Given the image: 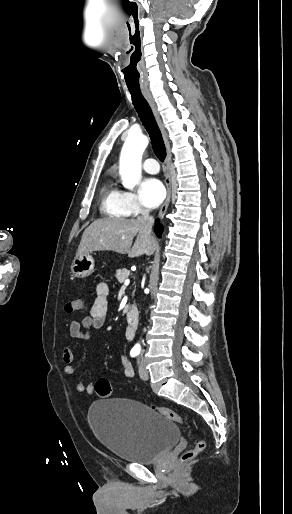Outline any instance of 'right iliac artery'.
Returning <instances> with one entry per match:
<instances>
[{"label": "right iliac artery", "instance_id": "right-iliac-artery-1", "mask_svg": "<svg viewBox=\"0 0 292 514\" xmlns=\"http://www.w3.org/2000/svg\"><path fill=\"white\" fill-rule=\"evenodd\" d=\"M130 355H131V357H135V356L138 355V352L137 351H131Z\"/></svg>", "mask_w": 292, "mask_h": 514}]
</instances>
